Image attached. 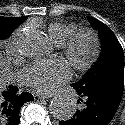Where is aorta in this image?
<instances>
[{
  "mask_svg": "<svg viewBox=\"0 0 125 125\" xmlns=\"http://www.w3.org/2000/svg\"><path fill=\"white\" fill-rule=\"evenodd\" d=\"M23 43L24 54L34 59L45 58L51 50V43L48 37L41 31H32L24 38ZM49 110L55 118L67 120L74 115L76 106L72 99L61 96L51 101Z\"/></svg>",
  "mask_w": 125,
  "mask_h": 125,
  "instance_id": "1",
  "label": "aorta"
}]
</instances>
